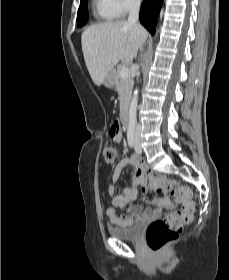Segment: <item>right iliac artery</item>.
<instances>
[{
	"instance_id": "1",
	"label": "right iliac artery",
	"mask_w": 229,
	"mask_h": 280,
	"mask_svg": "<svg viewBox=\"0 0 229 280\" xmlns=\"http://www.w3.org/2000/svg\"><path fill=\"white\" fill-rule=\"evenodd\" d=\"M127 140L129 146L132 148L134 146L135 140H134V131L133 130H128L127 131Z\"/></svg>"
}]
</instances>
